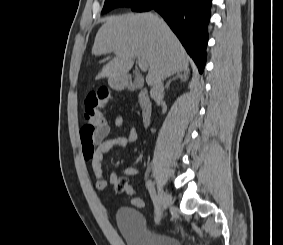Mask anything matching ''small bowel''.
I'll return each mask as SVG.
<instances>
[{"label":"small bowel","mask_w":283,"mask_h":245,"mask_svg":"<svg viewBox=\"0 0 283 245\" xmlns=\"http://www.w3.org/2000/svg\"><path fill=\"white\" fill-rule=\"evenodd\" d=\"M115 126L126 129L128 132L127 136L109 138L111 127L107 122L92 127L84 125L80 130L82 154L84 159L91 163L96 177L95 187L98 190H104L109 185L114 186L119 177L129 178L137 175L139 172L137 167L130 166L123 168L120 172H112L108 179L104 176L102 169L104 155L114 147H126L137 139L135 127L129 125L123 116L115 118Z\"/></svg>","instance_id":"c3829d8e"}]
</instances>
